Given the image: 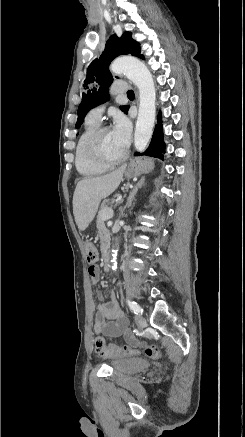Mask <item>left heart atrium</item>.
Returning a JSON list of instances; mask_svg holds the SVG:
<instances>
[{"instance_id":"1","label":"left heart atrium","mask_w":245,"mask_h":437,"mask_svg":"<svg viewBox=\"0 0 245 437\" xmlns=\"http://www.w3.org/2000/svg\"><path fill=\"white\" fill-rule=\"evenodd\" d=\"M112 133L118 144L126 150L130 143L131 126L123 115L118 114L115 116Z\"/></svg>"}]
</instances>
